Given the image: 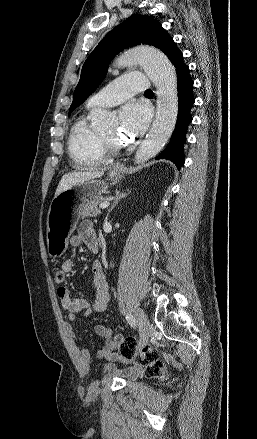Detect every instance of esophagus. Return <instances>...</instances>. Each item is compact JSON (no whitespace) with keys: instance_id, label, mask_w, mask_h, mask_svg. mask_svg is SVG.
<instances>
[{"instance_id":"obj_1","label":"esophagus","mask_w":257,"mask_h":439,"mask_svg":"<svg viewBox=\"0 0 257 439\" xmlns=\"http://www.w3.org/2000/svg\"><path fill=\"white\" fill-rule=\"evenodd\" d=\"M113 169H114V170H120V169H121V166H120V165H116V166H114Z\"/></svg>"}]
</instances>
